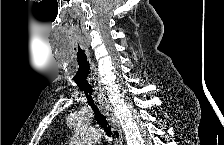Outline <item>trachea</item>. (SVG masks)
I'll list each match as a JSON object with an SVG mask.
<instances>
[{
	"label": "trachea",
	"instance_id": "trachea-1",
	"mask_svg": "<svg viewBox=\"0 0 224 145\" xmlns=\"http://www.w3.org/2000/svg\"><path fill=\"white\" fill-rule=\"evenodd\" d=\"M78 56L81 55L80 48L78 49ZM78 82L81 83L80 89L84 92L89 105L91 106L92 110L94 111L95 118L100 126L103 127L106 135L111 137V130L107 127V120L105 116L102 114L98 107V103L94 100V90L92 88L90 82V66L87 62L86 57L84 56L82 59H78V71H77Z\"/></svg>",
	"mask_w": 224,
	"mask_h": 145
}]
</instances>
